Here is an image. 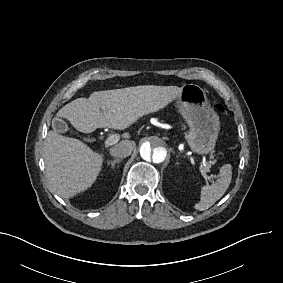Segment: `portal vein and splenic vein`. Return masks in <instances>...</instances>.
<instances>
[{
    "label": "portal vein and splenic vein",
    "instance_id": "18ae733b",
    "mask_svg": "<svg viewBox=\"0 0 283 283\" xmlns=\"http://www.w3.org/2000/svg\"><path fill=\"white\" fill-rule=\"evenodd\" d=\"M119 139H120V135L113 134V135H111L107 138V140L105 141V145L106 146L113 145V144L117 143L119 141ZM196 162L199 165V167L201 168L202 165L199 163V161L197 160ZM200 175L203 176L206 183H209V182H211V180L213 181L216 178L215 174L208 175L204 170L200 171Z\"/></svg>",
    "mask_w": 283,
    "mask_h": 283
}]
</instances>
